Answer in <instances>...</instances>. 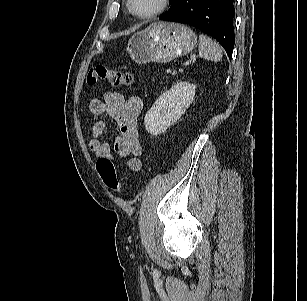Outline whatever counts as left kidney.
<instances>
[{"mask_svg":"<svg viewBox=\"0 0 307 301\" xmlns=\"http://www.w3.org/2000/svg\"><path fill=\"white\" fill-rule=\"evenodd\" d=\"M195 92L194 84L180 81L161 94L145 115L147 132L155 136L165 132L184 114L193 101Z\"/></svg>","mask_w":307,"mask_h":301,"instance_id":"5707ae66","label":"left kidney"}]
</instances>
